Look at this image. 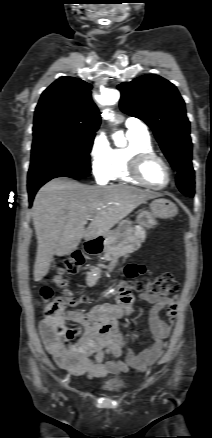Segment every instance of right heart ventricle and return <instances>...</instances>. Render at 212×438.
<instances>
[{
    "label": "right heart ventricle",
    "mask_w": 212,
    "mask_h": 438,
    "mask_svg": "<svg viewBox=\"0 0 212 438\" xmlns=\"http://www.w3.org/2000/svg\"><path fill=\"white\" fill-rule=\"evenodd\" d=\"M128 144L110 150L111 166L107 180L138 184L128 172L129 161L134 153L142 151L154 152L151 138L147 132L128 130Z\"/></svg>",
    "instance_id": "1"
}]
</instances>
